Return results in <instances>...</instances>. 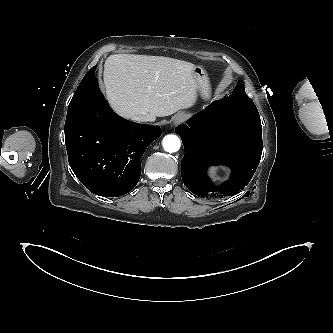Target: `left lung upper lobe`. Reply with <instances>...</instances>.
Returning a JSON list of instances; mask_svg holds the SVG:
<instances>
[{"label": "left lung upper lobe", "instance_id": "obj_1", "mask_svg": "<svg viewBox=\"0 0 333 333\" xmlns=\"http://www.w3.org/2000/svg\"><path fill=\"white\" fill-rule=\"evenodd\" d=\"M232 97L241 103L254 104L253 101L246 95L244 86L239 82L232 91Z\"/></svg>", "mask_w": 333, "mask_h": 333}]
</instances>
